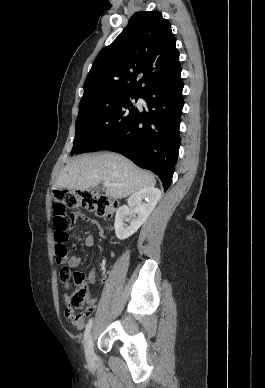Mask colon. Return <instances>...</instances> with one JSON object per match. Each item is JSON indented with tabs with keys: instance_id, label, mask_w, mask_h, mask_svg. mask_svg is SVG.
<instances>
[{
	"instance_id": "5ec220e1",
	"label": "colon",
	"mask_w": 265,
	"mask_h": 388,
	"mask_svg": "<svg viewBox=\"0 0 265 388\" xmlns=\"http://www.w3.org/2000/svg\"><path fill=\"white\" fill-rule=\"evenodd\" d=\"M83 207L100 217L109 218L117 208V202L106 195L90 190H56L54 193L53 222L55 260L63 264L68 255L66 240L70 227V209ZM61 277L67 284H73V292L65 298V316L69 322L76 325L84 316L79 312L88 299V288L85 276L80 272L71 273L67 267L61 272Z\"/></svg>"
}]
</instances>
